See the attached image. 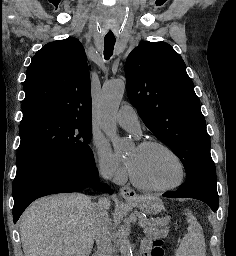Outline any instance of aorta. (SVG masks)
<instances>
[{"label":"aorta","mask_w":236,"mask_h":256,"mask_svg":"<svg viewBox=\"0 0 236 256\" xmlns=\"http://www.w3.org/2000/svg\"><path fill=\"white\" fill-rule=\"evenodd\" d=\"M126 84L124 79H116L106 82L102 87L99 102V115L102 121V129L108 137L115 141L116 121L115 115L119 109L120 102L125 92ZM115 147L120 149V143L116 142ZM119 251L121 256H132V247L128 239V233L123 227L117 231Z\"/></svg>","instance_id":"obj_1"}]
</instances>
